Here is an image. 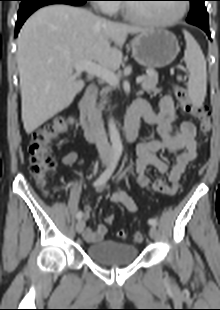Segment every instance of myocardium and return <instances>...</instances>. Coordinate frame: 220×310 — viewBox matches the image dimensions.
I'll return each mask as SVG.
<instances>
[{
	"instance_id": "obj_1",
	"label": "myocardium",
	"mask_w": 220,
	"mask_h": 310,
	"mask_svg": "<svg viewBox=\"0 0 220 310\" xmlns=\"http://www.w3.org/2000/svg\"><path fill=\"white\" fill-rule=\"evenodd\" d=\"M122 11H123L124 16L132 22L150 26V27L162 28V27L172 26L176 24L177 22H179L186 14L187 5L185 4V2H181L178 14L167 20H152V19L138 16L132 12L129 4H124L122 6Z\"/></svg>"
}]
</instances>
